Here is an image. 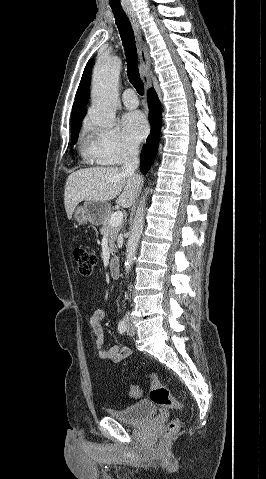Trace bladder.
<instances>
[{"label": "bladder", "instance_id": "31cf9c89", "mask_svg": "<svg viewBox=\"0 0 266 479\" xmlns=\"http://www.w3.org/2000/svg\"><path fill=\"white\" fill-rule=\"evenodd\" d=\"M108 415L127 424H139L156 415V404L152 401L141 400L125 406L122 409H108Z\"/></svg>", "mask_w": 266, "mask_h": 479}]
</instances>
